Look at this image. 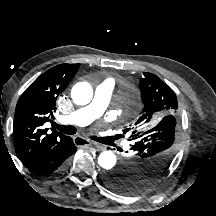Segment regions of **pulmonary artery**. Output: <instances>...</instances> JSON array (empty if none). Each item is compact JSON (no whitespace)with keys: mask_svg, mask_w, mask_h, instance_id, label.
Here are the masks:
<instances>
[{"mask_svg":"<svg viewBox=\"0 0 216 216\" xmlns=\"http://www.w3.org/2000/svg\"><path fill=\"white\" fill-rule=\"evenodd\" d=\"M114 86V81L111 79L101 82L95 88L92 101L69 115L64 116L63 122L69 125L85 126L100 118L109 104Z\"/></svg>","mask_w":216,"mask_h":216,"instance_id":"obj_1","label":"pulmonary artery"}]
</instances>
